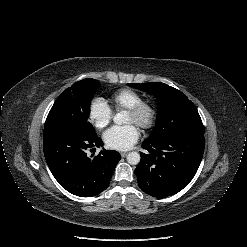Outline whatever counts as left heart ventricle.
<instances>
[{
  "instance_id": "b2bd125f",
  "label": "left heart ventricle",
  "mask_w": 247,
  "mask_h": 247,
  "mask_svg": "<svg viewBox=\"0 0 247 247\" xmlns=\"http://www.w3.org/2000/svg\"><path fill=\"white\" fill-rule=\"evenodd\" d=\"M125 122L126 123H136V117L133 114H131L129 111H127Z\"/></svg>"
}]
</instances>
